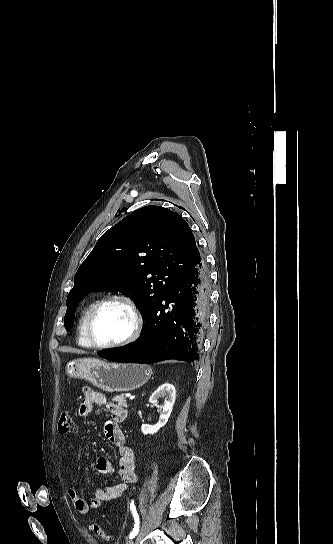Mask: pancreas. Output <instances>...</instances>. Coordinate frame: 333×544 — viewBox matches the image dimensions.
Returning <instances> with one entry per match:
<instances>
[{
  "mask_svg": "<svg viewBox=\"0 0 333 544\" xmlns=\"http://www.w3.org/2000/svg\"><path fill=\"white\" fill-rule=\"evenodd\" d=\"M112 401L118 403V405L127 407V400L125 399L123 394L115 396L114 398H112Z\"/></svg>",
  "mask_w": 333,
  "mask_h": 544,
  "instance_id": "obj_1",
  "label": "pancreas"
}]
</instances>
